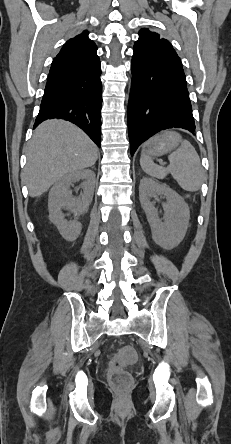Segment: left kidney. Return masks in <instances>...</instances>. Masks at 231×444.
<instances>
[{"mask_svg": "<svg viewBox=\"0 0 231 444\" xmlns=\"http://www.w3.org/2000/svg\"><path fill=\"white\" fill-rule=\"evenodd\" d=\"M157 195H163L167 200L164 205V222L159 219L158 211L151 202V198ZM139 199L155 243L167 250L178 246L185 237L190 219V211L183 198L169 186L143 178L139 186Z\"/></svg>", "mask_w": 231, "mask_h": 444, "instance_id": "left-kidney-1", "label": "left kidney"}]
</instances>
